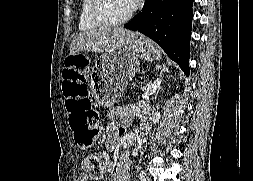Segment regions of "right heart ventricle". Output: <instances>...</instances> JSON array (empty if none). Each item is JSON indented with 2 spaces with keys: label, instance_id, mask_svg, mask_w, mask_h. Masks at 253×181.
Here are the masks:
<instances>
[{
  "label": "right heart ventricle",
  "instance_id": "1",
  "mask_svg": "<svg viewBox=\"0 0 253 181\" xmlns=\"http://www.w3.org/2000/svg\"><path fill=\"white\" fill-rule=\"evenodd\" d=\"M91 4L92 0H81L78 27L82 32L94 31L102 27L94 22L90 16Z\"/></svg>",
  "mask_w": 253,
  "mask_h": 181
}]
</instances>
